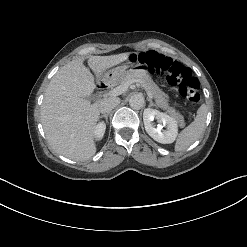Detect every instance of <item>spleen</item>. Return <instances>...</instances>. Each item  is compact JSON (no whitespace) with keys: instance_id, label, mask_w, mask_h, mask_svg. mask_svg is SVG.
<instances>
[{"instance_id":"1","label":"spleen","mask_w":247,"mask_h":247,"mask_svg":"<svg viewBox=\"0 0 247 247\" xmlns=\"http://www.w3.org/2000/svg\"><path fill=\"white\" fill-rule=\"evenodd\" d=\"M206 115L207 107L203 104L198 109L194 121L180 132L175 143V151H183L198 140L205 128Z\"/></svg>"}]
</instances>
